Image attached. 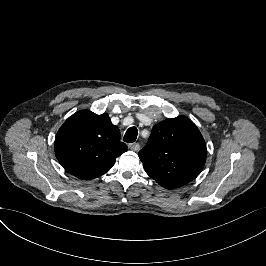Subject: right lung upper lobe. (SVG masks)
I'll return each mask as SVG.
<instances>
[{
  "label": "right lung upper lobe",
  "instance_id": "right-lung-upper-lobe-1",
  "mask_svg": "<svg viewBox=\"0 0 266 266\" xmlns=\"http://www.w3.org/2000/svg\"><path fill=\"white\" fill-rule=\"evenodd\" d=\"M55 154L70 174L89 180L100 177L128 150L108 114L81 110L69 117L55 138Z\"/></svg>",
  "mask_w": 266,
  "mask_h": 266
}]
</instances>
